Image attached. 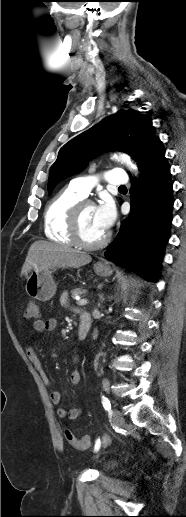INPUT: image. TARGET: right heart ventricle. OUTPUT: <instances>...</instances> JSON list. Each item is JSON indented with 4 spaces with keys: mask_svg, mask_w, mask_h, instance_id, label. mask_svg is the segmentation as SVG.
<instances>
[{
    "mask_svg": "<svg viewBox=\"0 0 186 517\" xmlns=\"http://www.w3.org/2000/svg\"><path fill=\"white\" fill-rule=\"evenodd\" d=\"M84 199L70 185L59 190L48 203L44 213V233L54 242L73 245L69 218L73 206Z\"/></svg>",
    "mask_w": 186,
    "mask_h": 517,
    "instance_id": "right-heart-ventricle-1",
    "label": "right heart ventricle"
}]
</instances>
